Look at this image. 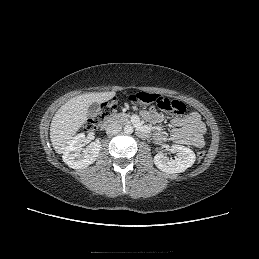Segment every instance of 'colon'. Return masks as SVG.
I'll return each mask as SVG.
<instances>
[{"label": "colon", "mask_w": 259, "mask_h": 259, "mask_svg": "<svg viewBox=\"0 0 259 259\" xmlns=\"http://www.w3.org/2000/svg\"><path fill=\"white\" fill-rule=\"evenodd\" d=\"M129 100L135 104H154L159 109L176 114L182 115L186 111V105L179 101L166 98L156 93L140 91L129 96ZM117 109V101L115 99L101 104L98 112L93 117L87 120V128L94 129L99 126L106 119L110 118ZM205 157V151L199 150L197 158L199 160Z\"/></svg>", "instance_id": "colon-1"}]
</instances>
